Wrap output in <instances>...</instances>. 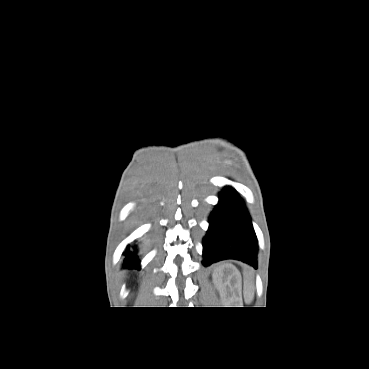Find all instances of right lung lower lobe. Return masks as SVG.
Masks as SVG:
<instances>
[{
	"label": "right lung lower lobe",
	"mask_w": 369,
	"mask_h": 369,
	"mask_svg": "<svg viewBox=\"0 0 369 369\" xmlns=\"http://www.w3.org/2000/svg\"><path fill=\"white\" fill-rule=\"evenodd\" d=\"M126 255L127 256L124 265L128 267L139 268L140 262L139 260H137L135 253L129 252L127 250Z\"/></svg>",
	"instance_id": "98d812e1"
}]
</instances>
